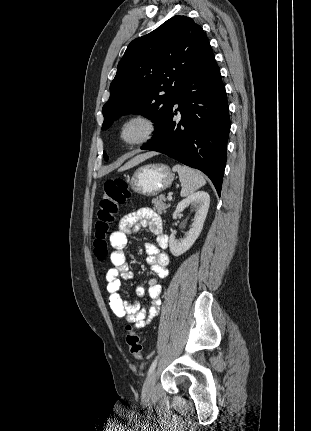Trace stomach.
I'll return each mask as SVG.
<instances>
[{
	"label": "stomach",
	"mask_w": 311,
	"mask_h": 431,
	"mask_svg": "<svg viewBox=\"0 0 311 431\" xmlns=\"http://www.w3.org/2000/svg\"><path fill=\"white\" fill-rule=\"evenodd\" d=\"M174 180L169 166L165 164H146L140 166L128 178L127 182L136 194L141 196H158L163 190L169 188Z\"/></svg>",
	"instance_id": "0dacf381"
}]
</instances>
